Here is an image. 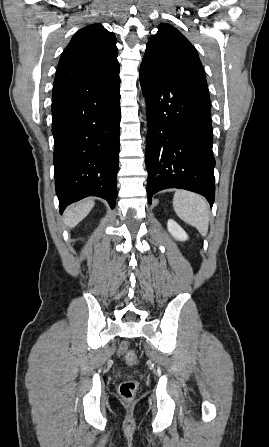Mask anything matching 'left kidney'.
<instances>
[{
	"mask_svg": "<svg viewBox=\"0 0 269 447\" xmlns=\"http://www.w3.org/2000/svg\"><path fill=\"white\" fill-rule=\"evenodd\" d=\"M168 231H170L171 235L175 237V239H179V241H184V239H188V235L181 227V225L177 224V222H174V220H168Z\"/></svg>",
	"mask_w": 269,
	"mask_h": 447,
	"instance_id": "5707ae66",
	"label": "left kidney"
}]
</instances>
